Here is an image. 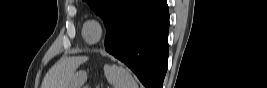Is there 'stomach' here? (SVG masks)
<instances>
[{
  "label": "stomach",
  "instance_id": "obj_1",
  "mask_svg": "<svg viewBox=\"0 0 267 88\" xmlns=\"http://www.w3.org/2000/svg\"><path fill=\"white\" fill-rule=\"evenodd\" d=\"M86 79V73L84 71L77 72L69 82L67 88H81Z\"/></svg>",
  "mask_w": 267,
  "mask_h": 88
}]
</instances>
